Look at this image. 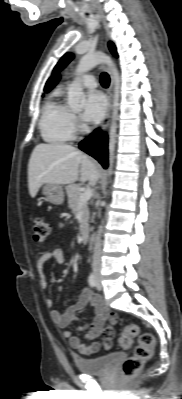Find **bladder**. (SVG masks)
<instances>
[{"label": "bladder", "mask_w": 182, "mask_h": 399, "mask_svg": "<svg viewBox=\"0 0 182 399\" xmlns=\"http://www.w3.org/2000/svg\"><path fill=\"white\" fill-rule=\"evenodd\" d=\"M122 358L118 352L107 353L95 358L76 357L74 363L80 373L85 375H100L107 373L116 361Z\"/></svg>", "instance_id": "31cf9c89"}]
</instances>
